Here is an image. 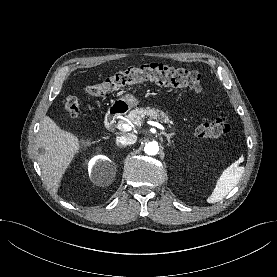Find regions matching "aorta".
<instances>
[{
  "label": "aorta",
  "instance_id": "1",
  "mask_svg": "<svg viewBox=\"0 0 277 277\" xmlns=\"http://www.w3.org/2000/svg\"><path fill=\"white\" fill-rule=\"evenodd\" d=\"M144 151L148 155H156L159 151V146L156 142H149L146 144Z\"/></svg>",
  "mask_w": 277,
  "mask_h": 277
}]
</instances>
